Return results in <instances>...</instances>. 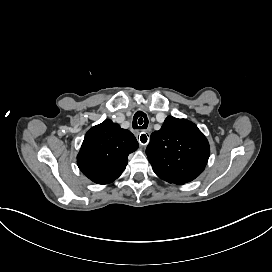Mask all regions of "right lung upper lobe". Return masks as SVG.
I'll list each match as a JSON object with an SVG mask.
<instances>
[{"label": "right lung upper lobe", "mask_w": 272, "mask_h": 272, "mask_svg": "<svg viewBox=\"0 0 272 272\" xmlns=\"http://www.w3.org/2000/svg\"><path fill=\"white\" fill-rule=\"evenodd\" d=\"M138 146L129 130L105 120L86 133L77 156L78 167L93 182L109 184L121 175L128 155Z\"/></svg>", "instance_id": "1"}]
</instances>
